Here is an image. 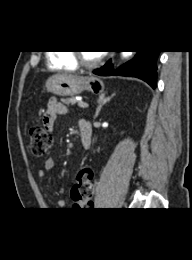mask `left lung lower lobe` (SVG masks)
I'll return each mask as SVG.
<instances>
[{"label": "left lung lower lobe", "mask_w": 192, "mask_h": 260, "mask_svg": "<svg viewBox=\"0 0 192 260\" xmlns=\"http://www.w3.org/2000/svg\"><path fill=\"white\" fill-rule=\"evenodd\" d=\"M159 52L160 51L155 50L138 51L134 59L125 63L115 71L113 70L111 60H109L104 66L95 70L94 74L100 76H133L144 80L152 88H155L157 81L156 60Z\"/></svg>", "instance_id": "left-lung-lower-lobe-1"}]
</instances>
